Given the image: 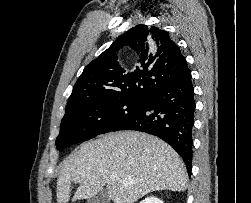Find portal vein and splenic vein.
<instances>
[{
	"label": "portal vein and splenic vein",
	"instance_id": "18ae733b",
	"mask_svg": "<svg viewBox=\"0 0 251 203\" xmlns=\"http://www.w3.org/2000/svg\"><path fill=\"white\" fill-rule=\"evenodd\" d=\"M116 177H117V175L114 174V173L110 175V178H111V179H115Z\"/></svg>",
	"mask_w": 251,
	"mask_h": 203
}]
</instances>
